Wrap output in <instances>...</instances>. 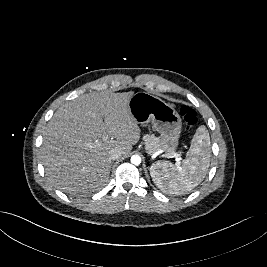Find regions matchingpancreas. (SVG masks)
Listing matches in <instances>:
<instances>
[{"label": "pancreas", "mask_w": 267, "mask_h": 267, "mask_svg": "<svg viewBox=\"0 0 267 267\" xmlns=\"http://www.w3.org/2000/svg\"><path fill=\"white\" fill-rule=\"evenodd\" d=\"M145 143V149L148 154H154L160 149L159 139L153 135H145L143 137Z\"/></svg>", "instance_id": "cf45deb5"}]
</instances>
